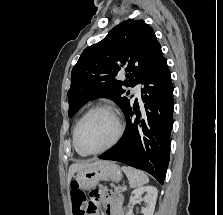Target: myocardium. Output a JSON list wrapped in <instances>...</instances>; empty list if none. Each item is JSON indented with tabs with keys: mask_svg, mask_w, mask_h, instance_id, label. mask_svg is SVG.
Instances as JSON below:
<instances>
[{
	"mask_svg": "<svg viewBox=\"0 0 223 215\" xmlns=\"http://www.w3.org/2000/svg\"><path fill=\"white\" fill-rule=\"evenodd\" d=\"M97 111H106L108 113H110L115 121H116V124H117V131H116V134L114 136V138L112 139V141L107 145L105 146L104 148L98 150V151H94V152H83L79 146H78V142H77V139H78V132H79V129L82 125V123L93 113L97 112ZM123 124H122V121L120 119V116L119 114L117 113V111L107 105V104H97L95 106H93L91 109H89L81 118L80 120L77 122L76 126H75V129H74V134H73V142H74V146H75V149L76 151L82 155V156H96V155H99L107 150H110L112 149L118 142L119 140L121 139L122 137V134H123Z\"/></svg>",
	"mask_w": 223,
	"mask_h": 215,
	"instance_id": "f54148a6",
	"label": "myocardium"
}]
</instances>
